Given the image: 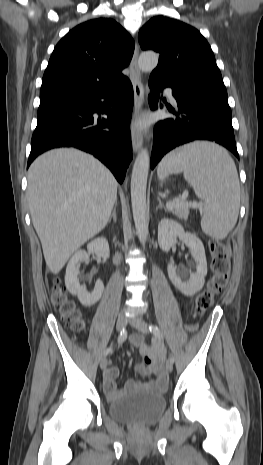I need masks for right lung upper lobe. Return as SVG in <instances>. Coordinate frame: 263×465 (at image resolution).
<instances>
[{
	"mask_svg": "<svg viewBox=\"0 0 263 465\" xmlns=\"http://www.w3.org/2000/svg\"><path fill=\"white\" fill-rule=\"evenodd\" d=\"M134 41L117 22L99 18L69 31L56 45L45 70L40 101L61 99L85 91H100L121 83Z\"/></svg>",
	"mask_w": 263,
	"mask_h": 465,
	"instance_id": "cb5924a9",
	"label": "right lung upper lobe"
}]
</instances>
